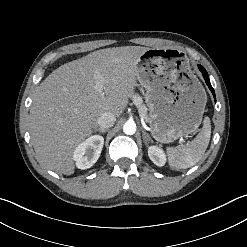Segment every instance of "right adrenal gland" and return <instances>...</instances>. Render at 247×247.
I'll use <instances>...</instances> for the list:
<instances>
[{"instance_id": "right-adrenal-gland-1", "label": "right adrenal gland", "mask_w": 247, "mask_h": 247, "mask_svg": "<svg viewBox=\"0 0 247 247\" xmlns=\"http://www.w3.org/2000/svg\"><path fill=\"white\" fill-rule=\"evenodd\" d=\"M97 131H99V132H101V133H105V132H107V129H103V128H95L94 132H97Z\"/></svg>"}]
</instances>
